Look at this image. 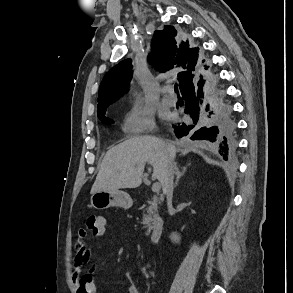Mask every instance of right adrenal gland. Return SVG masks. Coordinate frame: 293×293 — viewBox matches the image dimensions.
Segmentation results:
<instances>
[{"instance_id":"obj_1","label":"right adrenal gland","mask_w":293,"mask_h":293,"mask_svg":"<svg viewBox=\"0 0 293 293\" xmlns=\"http://www.w3.org/2000/svg\"><path fill=\"white\" fill-rule=\"evenodd\" d=\"M189 165V164H188ZM174 169H175V175H176V181H175V185L174 187H176L178 185V181L180 179V177L185 173L186 171V167L183 168V171L180 172L177 164H174Z\"/></svg>"}]
</instances>
